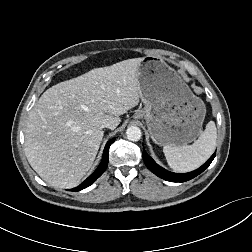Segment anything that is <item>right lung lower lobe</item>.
Listing matches in <instances>:
<instances>
[{"label":"right lung lower lobe","mask_w":252,"mask_h":252,"mask_svg":"<svg viewBox=\"0 0 252 252\" xmlns=\"http://www.w3.org/2000/svg\"><path fill=\"white\" fill-rule=\"evenodd\" d=\"M115 141V139H111L107 142L104 152H103V157L101 160L100 165L98 168L93 172L83 183H81L78 187L71 189V191H80L88 186H90L97 178H99L102 173L105 171L108 165V153H109V148L110 145Z\"/></svg>","instance_id":"1"}]
</instances>
